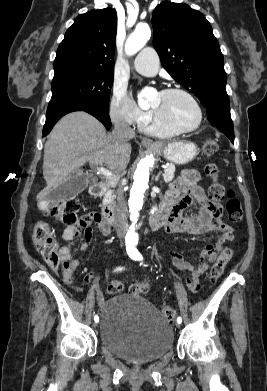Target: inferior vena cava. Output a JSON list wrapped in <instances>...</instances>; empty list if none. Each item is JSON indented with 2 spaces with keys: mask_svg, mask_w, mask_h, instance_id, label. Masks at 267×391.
<instances>
[{
  "mask_svg": "<svg viewBox=\"0 0 267 391\" xmlns=\"http://www.w3.org/2000/svg\"><path fill=\"white\" fill-rule=\"evenodd\" d=\"M112 135L117 138L121 143H127L131 138L135 136V132L128 124L117 121L114 124V131ZM115 229L117 236L120 239H123L125 237L127 229V216L124 196L121 188L118 191L115 206Z\"/></svg>",
  "mask_w": 267,
  "mask_h": 391,
  "instance_id": "1",
  "label": "inferior vena cava"
}]
</instances>
